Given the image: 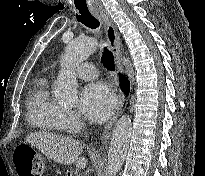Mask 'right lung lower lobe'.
Returning a JSON list of instances; mask_svg holds the SVG:
<instances>
[{
    "label": "right lung lower lobe",
    "mask_w": 205,
    "mask_h": 176,
    "mask_svg": "<svg viewBox=\"0 0 205 176\" xmlns=\"http://www.w3.org/2000/svg\"><path fill=\"white\" fill-rule=\"evenodd\" d=\"M121 86L122 88L126 91V92H129V81L126 77L122 76V79H121Z\"/></svg>",
    "instance_id": "1"
}]
</instances>
